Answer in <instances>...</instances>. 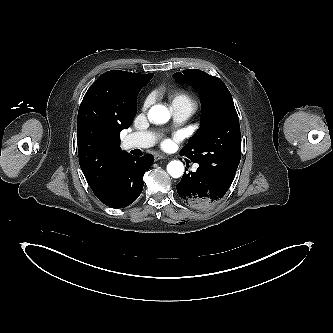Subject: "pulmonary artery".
<instances>
[{"label": "pulmonary artery", "mask_w": 333, "mask_h": 333, "mask_svg": "<svg viewBox=\"0 0 333 333\" xmlns=\"http://www.w3.org/2000/svg\"><path fill=\"white\" fill-rule=\"evenodd\" d=\"M195 110L194 106L187 104L172 105V112L176 122L185 121L189 118ZM156 136L152 132H136L127 136L126 145L129 148H148L154 145ZM197 166H194V170Z\"/></svg>", "instance_id": "obj_1"}]
</instances>
